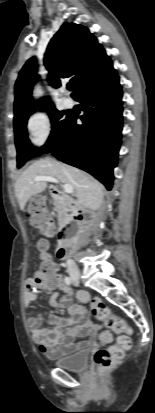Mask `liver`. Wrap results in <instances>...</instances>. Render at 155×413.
Segmentation results:
<instances>
[{
    "mask_svg": "<svg viewBox=\"0 0 155 413\" xmlns=\"http://www.w3.org/2000/svg\"><path fill=\"white\" fill-rule=\"evenodd\" d=\"M61 167L66 169L70 177L63 173ZM38 176H51L71 185L77 198L75 204L79 208L98 210L103 203L104 187L97 180L78 168L45 158L31 164L15 183V194L21 210H24L32 196L46 189V181L31 183Z\"/></svg>",
    "mask_w": 155,
    "mask_h": 413,
    "instance_id": "6515ba94",
    "label": "liver"
}]
</instances>
